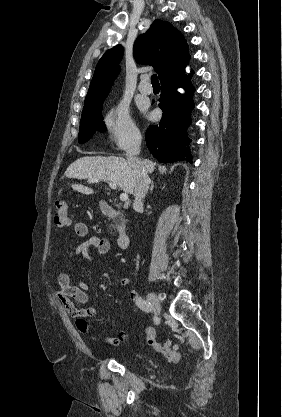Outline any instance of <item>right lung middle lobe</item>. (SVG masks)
Instances as JSON below:
<instances>
[{"label": "right lung middle lobe", "instance_id": "dd1d6c3e", "mask_svg": "<svg viewBox=\"0 0 282 417\" xmlns=\"http://www.w3.org/2000/svg\"><path fill=\"white\" fill-rule=\"evenodd\" d=\"M107 95L108 93H105L85 98L78 135L79 143L88 141L95 131H105L106 126L103 122L101 111L104 99Z\"/></svg>", "mask_w": 282, "mask_h": 417}]
</instances>
